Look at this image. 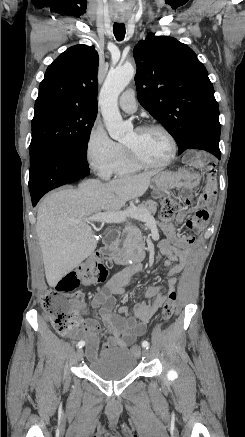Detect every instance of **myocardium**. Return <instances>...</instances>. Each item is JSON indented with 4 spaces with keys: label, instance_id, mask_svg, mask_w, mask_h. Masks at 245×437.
Masks as SVG:
<instances>
[{
    "label": "myocardium",
    "instance_id": "1",
    "mask_svg": "<svg viewBox=\"0 0 245 437\" xmlns=\"http://www.w3.org/2000/svg\"><path fill=\"white\" fill-rule=\"evenodd\" d=\"M152 129L161 131L170 142L171 152H170L169 157L166 160L161 161V162L145 161V160L141 159L140 157H138L125 144H123L124 152H125L127 158L137 166L144 167V168L166 167V166L170 165L174 161V159L176 158L177 151H178V144H177L176 138L174 137V135L171 133V131L168 128H166L165 126H163L161 124H157V123H146V124L140 125V126L135 128V130L138 132L152 130Z\"/></svg>",
    "mask_w": 245,
    "mask_h": 437
}]
</instances>
